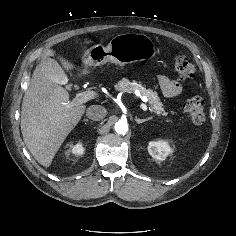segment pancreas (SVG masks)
<instances>
[{
  "instance_id": "pancreas-1",
  "label": "pancreas",
  "mask_w": 236,
  "mask_h": 236,
  "mask_svg": "<svg viewBox=\"0 0 236 236\" xmlns=\"http://www.w3.org/2000/svg\"><path fill=\"white\" fill-rule=\"evenodd\" d=\"M115 89L118 91H125L128 93H134L139 91L141 95L147 97L149 110L151 113L157 114L158 116H167V112L164 111L162 102L159 100L158 94L151 89H146L141 84L136 82H130L128 79L123 78L115 85ZM170 121V120H168Z\"/></svg>"
}]
</instances>
